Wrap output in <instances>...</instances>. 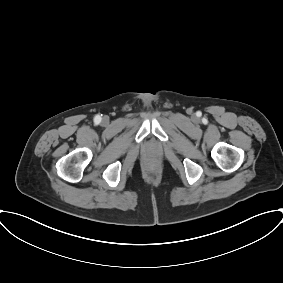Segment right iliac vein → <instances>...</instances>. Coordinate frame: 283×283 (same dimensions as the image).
Masks as SVG:
<instances>
[{"instance_id":"1","label":"right iliac vein","mask_w":283,"mask_h":283,"mask_svg":"<svg viewBox=\"0 0 283 283\" xmlns=\"http://www.w3.org/2000/svg\"><path fill=\"white\" fill-rule=\"evenodd\" d=\"M103 123H107L108 122V119L106 117L103 118Z\"/></svg>"}]
</instances>
